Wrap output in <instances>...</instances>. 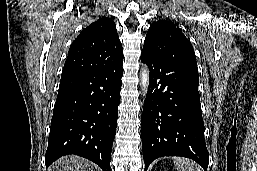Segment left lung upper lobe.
<instances>
[{
    "mask_svg": "<svg viewBox=\"0 0 257 171\" xmlns=\"http://www.w3.org/2000/svg\"><path fill=\"white\" fill-rule=\"evenodd\" d=\"M142 52L149 56L167 54L198 71L192 44L170 22L159 20L150 26Z\"/></svg>",
    "mask_w": 257,
    "mask_h": 171,
    "instance_id": "left-lung-upper-lobe-1",
    "label": "left lung upper lobe"
}]
</instances>
